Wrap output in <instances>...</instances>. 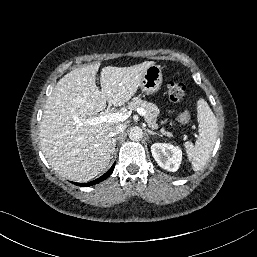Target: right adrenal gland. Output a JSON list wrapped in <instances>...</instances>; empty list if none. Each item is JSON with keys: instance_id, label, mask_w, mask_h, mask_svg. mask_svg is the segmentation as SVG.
<instances>
[{"instance_id": "2a0ac1e0", "label": "right adrenal gland", "mask_w": 257, "mask_h": 257, "mask_svg": "<svg viewBox=\"0 0 257 257\" xmlns=\"http://www.w3.org/2000/svg\"><path fill=\"white\" fill-rule=\"evenodd\" d=\"M115 147H116V137H114V138L112 139V154H113L114 151H115Z\"/></svg>"}]
</instances>
